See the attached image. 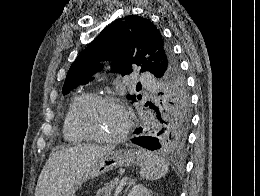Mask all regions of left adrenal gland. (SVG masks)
<instances>
[{
	"mask_svg": "<svg viewBox=\"0 0 260 196\" xmlns=\"http://www.w3.org/2000/svg\"><path fill=\"white\" fill-rule=\"evenodd\" d=\"M132 184H135V180H128V186H127L123 196H126L128 190H129L130 186H132Z\"/></svg>",
	"mask_w": 260,
	"mask_h": 196,
	"instance_id": "1",
	"label": "left adrenal gland"
}]
</instances>
